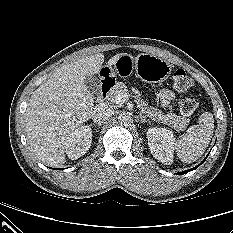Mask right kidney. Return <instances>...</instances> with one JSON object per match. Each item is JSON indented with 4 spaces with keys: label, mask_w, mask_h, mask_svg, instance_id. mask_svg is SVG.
Masks as SVG:
<instances>
[{
    "label": "right kidney",
    "mask_w": 233,
    "mask_h": 233,
    "mask_svg": "<svg viewBox=\"0 0 233 233\" xmlns=\"http://www.w3.org/2000/svg\"><path fill=\"white\" fill-rule=\"evenodd\" d=\"M91 142V128L89 126L78 127L66 139L65 152L71 160H76L89 150Z\"/></svg>",
    "instance_id": "obj_1"
}]
</instances>
